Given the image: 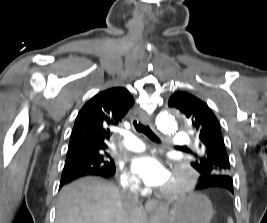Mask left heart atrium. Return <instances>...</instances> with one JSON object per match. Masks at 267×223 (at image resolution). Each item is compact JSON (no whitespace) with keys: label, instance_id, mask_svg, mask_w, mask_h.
Listing matches in <instances>:
<instances>
[{"label":"left heart atrium","instance_id":"left-heart-atrium-1","mask_svg":"<svg viewBox=\"0 0 267 223\" xmlns=\"http://www.w3.org/2000/svg\"><path fill=\"white\" fill-rule=\"evenodd\" d=\"M131 171L148 187H164L171 178L169 170L156 155L145 154L136 156L131 162Z\"/></svg>","mask_w":267,"mask_h":223}]
</instances>
